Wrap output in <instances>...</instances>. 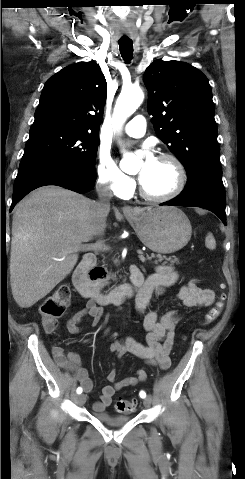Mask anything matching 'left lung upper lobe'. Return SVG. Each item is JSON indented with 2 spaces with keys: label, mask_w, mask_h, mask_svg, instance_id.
I'll return each mask as SVG.
<instances>
[{
  "label": "left lung upper lobe",
  "mask_w": 245,
  "mask_h": 479,
  "mask_svg": "<svg viewBox=\"0 0 245 479\" xmlns=\"http://www.w3.org/2000/svg\"><path fill=\"white\" fill-rule=\"evenodd\" d=\"M143 80L156 133L187 175L219 162L215 109L206 76L185 62L157 60L146 69Z\"/></svg>",
  "instance_id": "5c2ea615"
}]
</instances>
